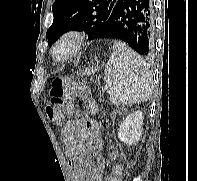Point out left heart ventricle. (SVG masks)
<instances>
[{"instance_id": "obj_1", "label": "left heart ventricle", "mask_w": 197, "mask_h": 181, "mask_svg": "<svg viewBox=\"0 0 197 181\" xmlns=\"http://www.w3.org/2000/svg\"><path fill=\"white\" fill-rule=\"evenodd\" d=\"M69 50H70V44L69 43H65V44L61 45L60 48L58 49V56L66 55Z\"/></svg>"}]
</instances>
